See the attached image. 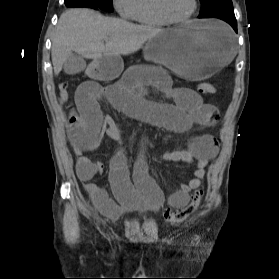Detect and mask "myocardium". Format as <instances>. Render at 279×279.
Listing matches in <instances>:
<instances>
[{
	"label": "myocardium",
	"mask_w": 279,
	"mask_h": 279,
	"mask_svg": "<svg viewBox=\"0 0 279 279\" xmlns=\"http://www.w3.org/2000/svg\"><path fill=\"white\" fill-rule=\"evenodd\" d=\"M156 6L161 17L171 24H181L189 21L196 13L198 9V0H193V7L191 11L184 17L175 18L166 9L165 0H155Z\"/></svg>",
	"instance_id": "1"
}]
</instances>
